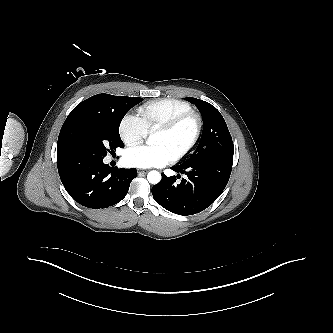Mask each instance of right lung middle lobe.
<instances>
[{
	"mask_svg": "<svg viewBox=\"0 0 333 333\" xmlns=\"http://www.w3.org/2000/svg\"><path fill=\"white\" fill-rule=\"evenodd\" d=\"M143 99L108 95L104 109L77 106L65 120L57 143L58 151H84L99 157L124 147L119 126L124 115Z\"/></svg>",
	"mask_w": 333,
	"mask_h": 333,
	"instance_id": "dd1d6c3e",
	"label": "right lung middle lobe"
}]
</instances>
